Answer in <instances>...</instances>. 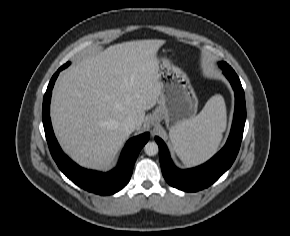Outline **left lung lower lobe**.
Wrapping results in <instances>:
<instances>
[{"label": "left lung lower lobe", "mask_w": 290, "mask_h": 236, "mask_svg": "<svg viewBox=\"0 0 290 236\" xmlns=\"http://www.w3.org/2000/svg\"><path fill=\"white\" fill-rule=\"evenodd\" d=\"M221 68V67H220ZM235 93V112L230 135L225 146L208 162L187 170L174 166L165 143L158 137L159 159L165 180L173 187L196 192L213 184L233 164L242 140L246 120L245 95L241 82L231 67L221 68Z\"/></svg>", "instance_id": "0a47b994"}]
</instances>
